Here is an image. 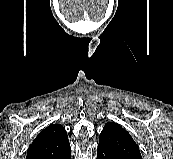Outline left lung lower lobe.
Masks as SVG:
<instances>
[{
	"instance_id": "1",
	"label": "left lung lower lobe",
	"mask_w": 173,
	"mask_h": 159,
	"mask_svg": "<svg viewBox=\"0 0 173 159\" xmlns=\"http://www.w3.org/2000/svg\"><path fill=\"white\" fill-rule=\"evenodd\" d=\"M97 159H126V158L115 154L114 152L106 149L103 146L98 145Z\"/></svg>"
}]
</instances>
